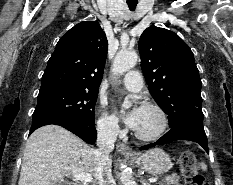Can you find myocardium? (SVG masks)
<instances>
[{"instance_id":"myocardium-1","label":"myocardium","mask_w":233,"mask_h":185,"mask_svg":"<svg viewBox=\"0 0 233 185\" xmlns=\"http://www.w3.org/2000/svg\"><path fill=\"white\" fill-rule=\"evenodd\" d=\"M142 108L152 109L159 114L160 119H161L160 127L155 133H153L151 135H141V134L137 133L135 130H134L133 134H134L135 138H137L140 141H144V142L156 141V140L160 139L168 129V126H169L168 115H167L166 111L160 105H158L156 103L146 102L142 105Z\"/></svg>"}]
</instances>
